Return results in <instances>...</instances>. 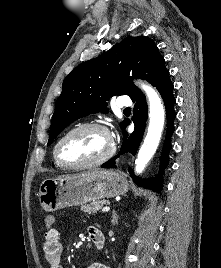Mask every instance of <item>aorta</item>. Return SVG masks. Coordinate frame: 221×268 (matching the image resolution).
<instances>
[{"instance_id": "1", "label": "aorta", "mask_w": 221, "mask_h": 268, "mask_svg": "<svg viewBox=\"0 0 221 268\" xmlns=\"http://www.w3.org/2000/svg\"><path fill=\"white\" fill-rule=\"evenodd\" d=\"M149 100V126L148 132L135 161V172L140 174L145 169L149 160L153 157L164 127L165 111L158 93L149 85L140 86Z\"/></svg>"}]
</instances>
